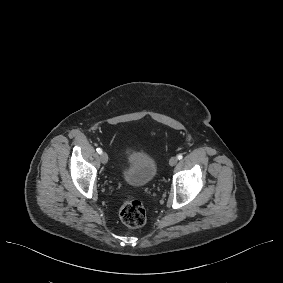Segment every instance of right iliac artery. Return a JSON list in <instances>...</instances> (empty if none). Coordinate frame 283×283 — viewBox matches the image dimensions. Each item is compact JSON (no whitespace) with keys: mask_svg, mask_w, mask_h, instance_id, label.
<instances>
[{"mask_svg":"<svg viewBox=\"0 0 283 283\" xmlns=\"http://www.w3.org/2000/svg\"><path fill=\"white\" fill-rule=\"evenodd\" d=\"M96 151L101 154L102 153V149L101 148H97Z\"/></svg>","mask_w":283,"mask_h":283,"instance_id":"1","label":"right iliac artery"}]
</instances>
